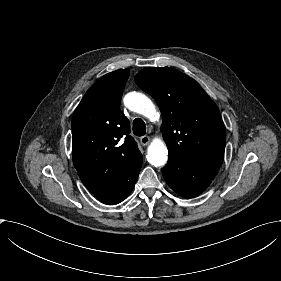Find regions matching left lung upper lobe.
<instances>
[{
	"label": "left lung upper lobe",
	"instance_id": "obj_1",
	"mask_svg": "<svg viewBox=\"0 0 281 281\" xmlns=\"http://www.w3.org/2000/svg\"><path fill=\"white\" fill-rule=\"evenodd\" d=\"M135 81L161 110L169 156L191 163L222 164L225 127L216 104L194 79L174 68L147 67Z\"/></svg>",
	"mask_w": 281,
	"mask_h": 281
}]
</instances>
